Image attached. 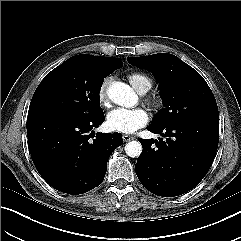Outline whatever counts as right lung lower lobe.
<instances>
[{
  "label": "right lung lower lobe",
  "mask_w": 241,
  "mask_h": 241,
  "mask_svg": "<svg viewBox=\"0 0 241 241\" xmlns=\"http://www.w3.org/2000/svg\"><path fill=\"white\" fill-rule=\"evenodd\" d=\"M104 120V113L90 119L64 115L27 119L31 158L50 186L77 195L103 182L110 154L123 143L120 133H90Z\"/></svg>",
  "instance_id": "right-lung-lower-lobe-1"
}]
</instances>
